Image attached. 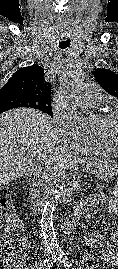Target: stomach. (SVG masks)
I'll use <instances>...</instances> for the list:
<instances>
[{"label": "stomach", "mask_w": 118, "mask_h": 269, "mask_svg": "<svg viewBox=\"0 0 118 269\" xmlns=\"http://www.w3.org/2000/svg\"><path fill=\"white\" fill-rule=\"evenodd\" d=\"M85 170L103 181H110L118 175V165L112 160H102L90 166Z\"/></svg>", "instance_id": "1"}]
</instances>
